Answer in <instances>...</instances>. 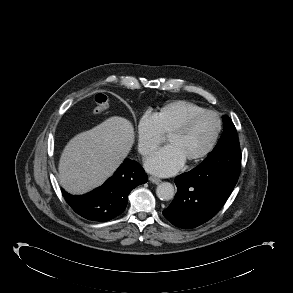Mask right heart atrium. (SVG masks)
Listing matches in <instances>:
<instances>
[{
	"label": "right heart atrium",
	"instance_id": "1",
	"mask_svg": "<svg viewBox=\"0 0 293 293\" xmlns=\"http://www.w3.org/2000/svg\"><path fill=\"white\" fill-rule=\"evenodd\" d=\"M163 140L153 114L144 113L137 122V146L143 156L149 155Z\"/></svg>",
	"mask_w": 293,
	"mask_h": 293
}]
</instances>
